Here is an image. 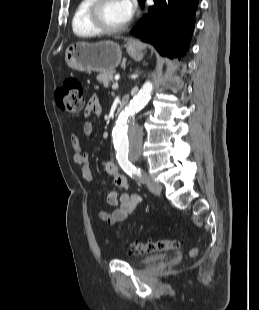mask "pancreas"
I'll list each match as a JSON object with an SVG mask.
<instances>
[{"mask_svg":"<svg viewBox=\"0 0 259 310\" xmlns=\"http://www.w3.org/2000/svg\"><path fill=\"white\" fill-rule=\"evenodd\" d=\"M114 71L104 72L97 76V80L104 85V87H108L110 82L113 81Z\"/></svg>","mask_w":259,"mask_h":310,"instance_id":"cf45deb5","label":"pancreas"}]
</instances>
